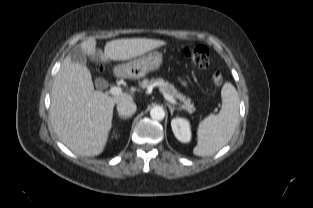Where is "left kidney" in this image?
Returning a JSON list of instances; mask_svg holds the SVG:
<instances>
[{
    "mask_svg": "<svg viewBox=\"0 0 313 208\" xmlns=\"http://www.w3.org/2000/svg\"><path fill=\"white\" fill-rule=\"evenodd\" d=\"M172 131L175 137L183 143H188L191 140L190 123L188 120L176 117L171 121Z\"/></svg>",
    "mask_w": 313,
    "mask_h": 208,
    "instance_id": "1",
    "label": "left kidney"
}]
</instances>
